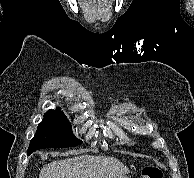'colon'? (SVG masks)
Listing matches in <instances>:
<instances>
[{
    "label": "colon",
    "mask_w": 194,
    "mask_h": 178,
    "mask_svg": "<svg viewBox=\"0 0 194 178\" xmlns=\"http://www.w3.org/2000/svg\"><path fill=\"white\" fill-rule=\"evenodd\" d=\"M142 178H163V171L156 166H147L142 171Z\"/></svg>",
    "instance_id": "colon-1"
}]
</instances>
